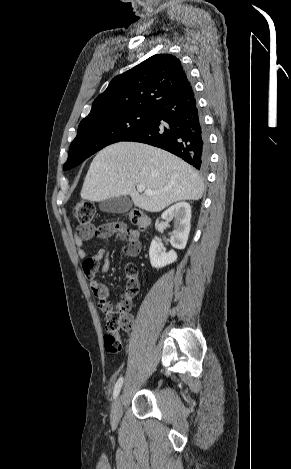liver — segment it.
Segmentation results:
<instances>
[{"label": "liver", "mask_w": 291, "mask_h": 469, "mask_svg": "<svg viewBox=\"0 0 291 469\" xmlns=\"http://www.w3.org/2000/svg\"><path fill=\"white\" fill-rule=\"evenodd\" d=\"M144 185L155 194L136 191ZM203 182L194 168L159 148L118 142L99 151L85 177L81 197L93 202L130 195L136 207L159 212L182 200H199Z\"/></svg>", "instance_id": "liver-1"}]
</instances>
